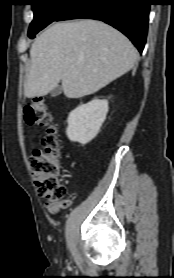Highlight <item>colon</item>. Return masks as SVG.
I'll use <instances>...</instances> for the list:
<instances>
[{"mask_svg":"<svg viewBox=\"0 0 174 278\" xmlns=\"http://www.w3.org/2000/svg\"><path fill=\"white\" fill-rule=\"evenodd\" d=\"M24 118L30 125L47 129L42 147L34 150L29 159L37 193L47 203H64L67 201V189L60 179V141L45 101L35 98L27 103Z\"/></svg>","mask_w":174,"mask_h":278,"instance_id":"obj_1","label":"colon"}]
</instances>
